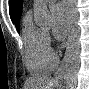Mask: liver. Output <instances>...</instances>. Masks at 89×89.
I'll list each match as a JSON object with an SVG mask.
<instances>
[{
    "label": "liver",
    "instance_id": "liver-1",
    "mask_svg": "<svg viewBox=\"0 0 89 89\" xmlns=\"http://www.w3.org/2000/svg\"><path fill=\"white\" fill-rule=\"evenodd\" d=\"M55 82L45 77H31L26 80L24 89H53Z\"/></svg>",
    "mask_w": 89,
    "mask_h": 89
}]
</instances>
